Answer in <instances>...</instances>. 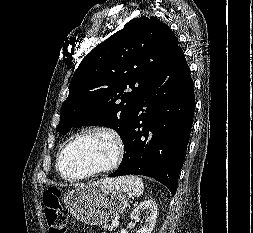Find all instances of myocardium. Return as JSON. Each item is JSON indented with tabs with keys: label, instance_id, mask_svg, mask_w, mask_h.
Returning <instances> with one entry per match:
<instances>
[{
	"label": "myocardium",
	"instance_id": "f54148a6",
	"mask_svg": "<svg viewBox=\"0 0 253 233\" xmlns=\"http://www.w3.org/2000/svg\"><path fill=\"white\" fill-rule=\"evenodd\" d=\"M92 134H103L112 140L114 144V150H115L112 160L105 166L92 170L83 175L76 176V177L67 176L62 171V167H61L63 155L65 154L66 150L72 143ZM124 156H125V143L121 134L114 128L106 126V125H93L74 134L64 143V145L62 146L61 150L59 151L57 155V171L64 180L68 182H79V181L88 179L90 177L114 170L120 165Z\"/></svg>",
	"mask_w": 253,
	"mask_h": 233
}]
</instances>
